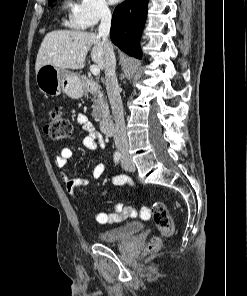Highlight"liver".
Listing matches in <instances>:
<instances>
[{"label": "liver", "instance_id": "6515ba94", "mask_svg": "<svg viewBox=\"0 0 247 296\" xmlns=\"http://www.w3.org/2000/svg\"><path fill=\"white\" fill-rule=\"evenodd\" d=\"M100 69L105 65V47L101 36L75 30L52 31L45 35L39 48L35 70L46 64L62 69H81L88 51Z\"/></svg>", "mask_w": 247, "mask_h": 296}]
</instances>
